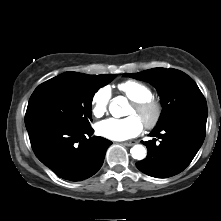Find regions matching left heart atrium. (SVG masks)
Masks as SVG:
<instances>
[{"label": "left heart atrium", "mask_w": 221, "mask_h": 221, "mask_svg": "<svg viewBox=\"0 0 221 221\" xmlns=\"http://www.w3.org/2000/svg\"><path fill=\"white\" fill-rule=\"evenodd\" d=\"M142 128V121L135 115L124 119L108 118L96 126L99 135L115 141L133 138L142 131Z\"/></svg>", "instance_id": "obj_1"}]
</instances>
